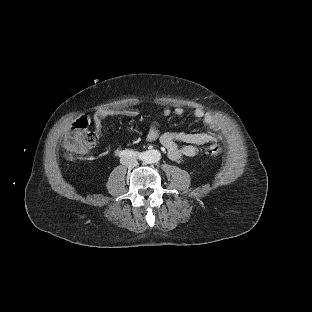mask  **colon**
I'll return each mask as SVG.
<instances>
[{
    "instance_id": "1",
    "label": "colon",
    "mask_w": 312,
    "mask_h": 312,
    "mask_svg": "<svg viewBox=\"0 0 312 312\" xmlns=\"http://www.w3.org/2000/svg\"><path fill=\"white\" fill-rule=\"evenodd\" d=\"M72 132L65 138L66 152L69 157H79L88 153L96 143V137L88 128V122L83 117H76L71 122ZM206 152L209 155H216L220 147L210 145Z\"/></svg>"
}]
</instances>
